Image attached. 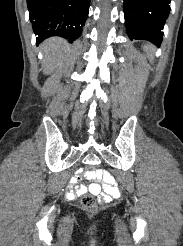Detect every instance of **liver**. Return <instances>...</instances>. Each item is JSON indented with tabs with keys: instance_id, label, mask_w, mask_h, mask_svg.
Masks as SVG:
<instances>
[{
	"instance_id": "6515ba94",
	"label": "liver",
	"mask_w": 183,
	"mask_h": 246,
	"mask_svg": "<svg viewBox=\"0 0 183 246\" xmlns=\"http://www.w3.org/2000/svg\"><path fill=\"white\" fill-rule=\"evenodd\" d=\"M41 50L43 52V72L48 75L57 67L63 65L67 58L69 47L64 39L52 37L41 45Z\"/></svg>"
}]
</instances>
